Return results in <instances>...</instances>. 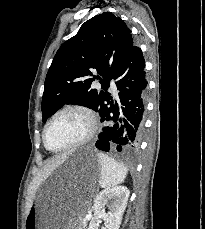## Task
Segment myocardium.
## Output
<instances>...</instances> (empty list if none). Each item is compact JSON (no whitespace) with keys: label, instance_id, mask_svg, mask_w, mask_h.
Instances as JSON below:
<instances>
[{"label":"myocardium","instance_id":"f54148a6","mask_svg":"<svg viewBox=\"0 0 205 229\" xmlns=\"http://www.w3.org/2000/svg\"><path fill=\"white\" fill-rule=\"evenodd\" d=\"M67 112H78V113L82 114L87 119L88 130H87L86 134L81 139L77 140L76 142H73V143H71L67 146L61 147V148L53 149V148L49 147V145L47 143L48 129L52 125V123L60 115L67 113ZM96 130H97V119H96L94 112L90 108H88L84 105H80V104L67 105V106L61 108L60 110H58L50 118V120L47 122V124L43 130V144H44L45 148L50 152L57 153V152L67 151V150L82 146V145L86 144L87 142H89L93 138V136L95 135Z\"/></svg>","mask_w":205,"mask_h":229}]
</instances>
